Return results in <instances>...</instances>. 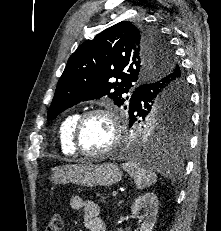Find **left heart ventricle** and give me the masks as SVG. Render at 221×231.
<instances>
[{
	"label": "left heart ventricle",
	"instance_id": "b2bd125f",
	"mask_svg": "<svg viewBox=\"0 0 221 231\" xmlns=\"http://www.w3.org/2000/svg\"><path fill=\"white\" fill-rule=\"evenodd\" d=\"M112 139L113 129L109 119L104 115L89 117L82 125L79 134L80 147L89 152L108 147Z\"/></svg>",
	"mask_w": 221,
	"mask_h": 231
}]
</instances>
